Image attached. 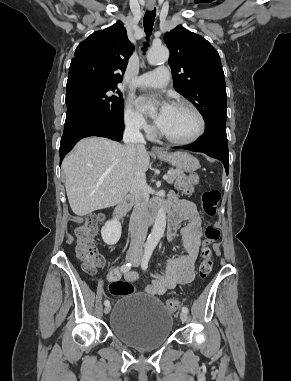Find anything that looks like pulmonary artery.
<instances>
[{
	"mask_svg": "<svg viewBox=\"0 0 291 381\" xmlns=\"http://www.w3.org/2000/svg\"><path fill=\"white\" fill-rule=\"evenodd\" d=\"M169 70L161 66L157 69L138 76L134 85L139 88H162L168 84Z\"/></svg>",
	"mask_w": 291,
	"mask_h": 381,
	"instance_id": "1",
	"label": "pulmonary artery"
}]
</instances>
